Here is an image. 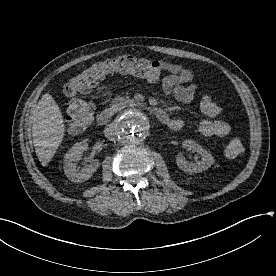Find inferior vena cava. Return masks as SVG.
<instances>
[{
	"label": "inferior vena cava",
	"instance_id": "inferior-vena-cava-1",
	"mask_svg": "<svg viewBox=\"0 0 276 276\" xmlns=\"http://www.w3.org/2000/svg\"><path fill=\"white\" fill-rule=\"evenodd\" d=\"M104 134L107 138L114 140L116 138V124L110 123L104 130Z\"/></svg>",
	"mask_w": 276,
	"mask_h": 276
}]
</instances>
